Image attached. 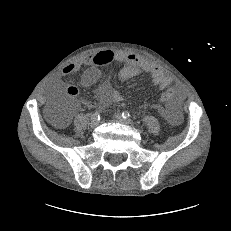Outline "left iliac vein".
Returning a JSON list of instances; mask_svg holds the SVG:
<instances>
[{"label":"left iliac vein","instance_id":"1","mask_svg":"<svg viewBox=\"0 0 231 231\" xmlns=\"http://www.w3.org/2000/svg\"><path fill=\"white\" fill-rule=\"evenodd\" d=\"M115 119L116 121L122 123V124H125V125H129L130 122L125 120L120 114H115Z\"/></svg>","mask_w":231,"mask_h":231}]
</instances>
